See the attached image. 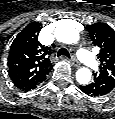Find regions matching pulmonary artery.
<instances>
[{"label":"pulmonary artery","instance_id":"e3ab8cb5","mask_svg":"<svg viewBox=\"0 0 115 119\" xmlns=\"http://www.w3.org/2000/svg\"><path fill=\"white\" fill-rule=\"evenodd\" d=\"M80 60L89 67H97V61L92 56V54L83 46H80L77 51Z\"/></svg>","mask_w":115,"mask_h":119}]
</instances>
